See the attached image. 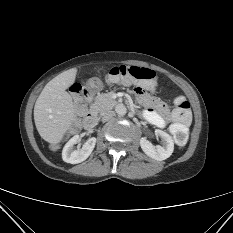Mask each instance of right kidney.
<instances>
[{
    "label": "right kidney",
    "instance_id": "right-kidney-1",
    "mask_svg": "<svg viewBox=\"0 0 233 233\" xmlns=\"http://www.w3.org/2000/svg\"><path fill=\"white\" fill-rule=\"evenodd\" d=\"M80 141L79 135L73 136L64 146L62 151L63 161L71 164H78L86 160L93 151L96 138L88 139L81 149H74V145Z\"/></svg>",
    "mask_w": 233,
    "mask_h": 233
}]
</instances>
